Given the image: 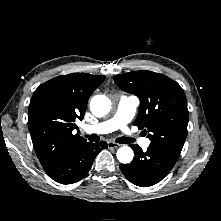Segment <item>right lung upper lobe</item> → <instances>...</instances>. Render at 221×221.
Masks as SVG:
<instances>
[{
  "label": "right lung upper lobe",
  "instance_id": "right-lung-upper-lobe-1",
  "mask_svg": "<svg viewBox=\"0 0 221 221\" xmlns=\"http://www.w3.org/2000/svg\"><path fill=\"white\" fill-rule=\"evenodd\" d=\"M105 80L103 75L73 73L41 84L29 104L28 125L35 153L46 170L87 144L73 135L75 121L82 120L87 102Z\"/></svg>",
  "mask_w": 221,
  "mask_h": 221
}]
</instances>
